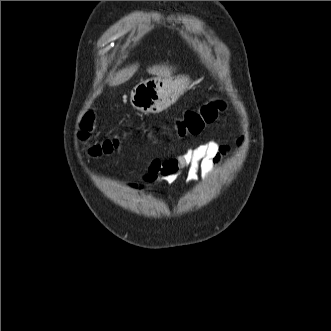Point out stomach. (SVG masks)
<instances>
[{
  "label": "stomach",
  "instance_id": "obj_1",
  "mask_svg": "<svg viewBox=\"0 0 331 331\" xmlns=\"http://www.w3.org/2000/svg\"><path fill=\"white\" fill-rule=\"evenodd\" d=\"M188 85V78L153 77L138 83L131 90V105L142 113L156 114L174 103Z\"/></svg>",
  "mask_w": 331,
  "mask_h": 331
}]
</instances>
